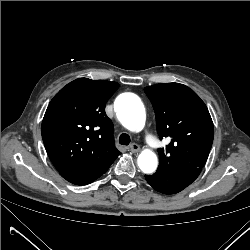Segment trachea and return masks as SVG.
<instances>
[{"instance_id": "trachea-1", "label": "trachea", "mask_w": 250, "mask_h": 250, "mask_svg": "<svg viewBox=\"0 0 250 250\" xmlns=\"http://www.w3.org/2000/svg\"><path fill=\"white\" fill-rule=\"evenodd\" d=\"M119 143L121 145H126V146L129 145V143H130V137H129V135L126 134V133L121 134L119 136Z\"/></svg>"}]
</instances>
